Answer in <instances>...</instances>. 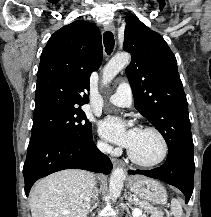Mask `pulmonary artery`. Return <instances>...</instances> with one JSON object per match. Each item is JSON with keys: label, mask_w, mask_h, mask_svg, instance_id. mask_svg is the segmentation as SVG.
<instances>
[{"label": "pulmonary artery", "mask_w": 211, "mask_h": 217, "mask_svg": "<svg viewBox=\"0 0 211 217\" xmlns=\"http://www.w3.org/2000/svg\"><path fill=\"white\" fill-rule=\"evenodd\" d=\"M108 102L118 107H130L132 104V90L127 82L118 85L116 92L111 95Z\"/></svg>", "instance_id": "1"}]
</instances>
